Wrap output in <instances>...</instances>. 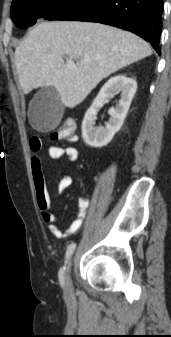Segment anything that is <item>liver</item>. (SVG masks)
I'll use <instances>...</instances> for the list:
<instances>
[{
	"label": "liver",
	"instance_id": "obj_1",
	"mask_svg": "<svg viewBox=\"0 0 171 337\" xmlns=\"http://www.w3.org/2000/svg\"><path fill=\"white\" fill-rule=\"evenodd\" d=\"M152 54L137 35L108 25L51 21L36 25L15 49V65L25 94L54 87L69 108L80 104L115 71ZM65 59L75 61L70 69Z\"/></svg>",
	"mask_w": 171,
	"mask_h": 337
}]
</instances>
